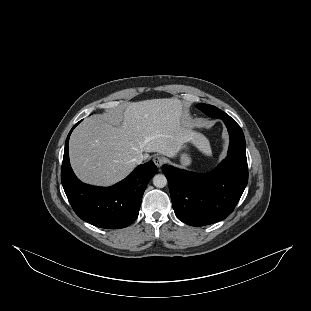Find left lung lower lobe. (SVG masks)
I'll return each instance as SVG.
<instances>
[{
  "label": "left lung lower lobe",
  "mask_w": 311,
  "mask_h": 311,
  "mask_svg": "<svg viewBox=\"0 0 311 311\" xmlns=\"http://www.w3.org/2000/svg\"><path fill=\"white\" fill-rule=\"evenodd\" d=\"M230 144L227 157L207 174H196L163 165L176 216L191 226L225 219L237 205L248 182L245 137L237 122L224 113Z\"/></svg>",
  "instance_id": "obj_1"
}]
</instances>
